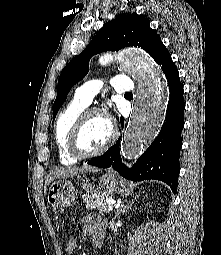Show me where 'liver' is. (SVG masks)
Instances as JSON below:
<instances>
[{"instance_id":"6515ba94","label":"liver","mask_w":221,"mask_h":255,"mask_svg":"<svg viewBox=\"0 0 221 255\" xmlns=\"http://www.w3.org/2000/svg\"><path fill=\"white\" fill-rule=\"evenodd\" d=\"M84 171H93L96 172L97 169L93 168L91 166H84L83 168H57L53 172L50 173V175L47 177L45 182L44 191H47V186L54 181L55 179H67L70 177H73L75 175H78Z\"/></svg>"}]
</instances>
